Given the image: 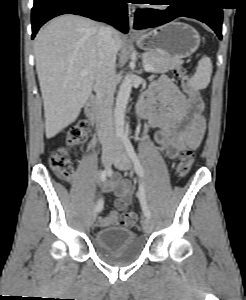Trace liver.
<instances>
[{
	"label": "liver",
	"mask_w": 246,
	"mask_h": 300,
	"mask_svg": "<svg viewBox=\"0 0 246 300\" xmlns=\"http://www.w3.org/2000/svg\"><path fill=\"white\" fill-rule=\"evenodd\" d=\"M100 25L78 15H62L42 28L34 43L48 139L73 123L91 95ZM117 51L122 38L113 30ZM85 71L86 75H81Z\"/></svg>",
	"instance_id": "1"
}]
</instances>
